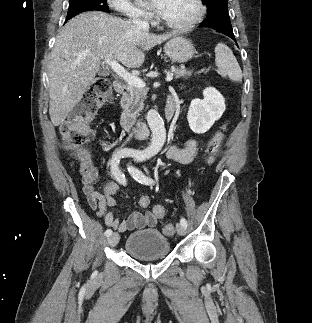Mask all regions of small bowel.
I'll use <instances>...</instances> for the list:
<instances>
[{
	"mask_svg": "<svg viewBox=\"0 0 312 323\" xmlns=\"http://www.w3.org/2000/svg\"><path fill=\"white\" fill-rule=\"evenodd\" d=\"M196 153V141L188 140L183 147L171 145L165 151L166 158L181 164L190 163ZM82 191L87 197L90 207L96 210L98 217L102 218L105 224L121 232L143 229L145 227H156L158 221L163 216H155V210H148L145 213L133 212L126 219L120 221L112 212H108V207L115 206L118 186L115 183L104 185L102 192L94 188V183L98 178V169L90 158H87L80 166Z\"/></svg>",
	"mask_w": 312,
	"mask_h": 323,
	"instance_id": "1",
	"label": "small bowel"
}]
</instances>
